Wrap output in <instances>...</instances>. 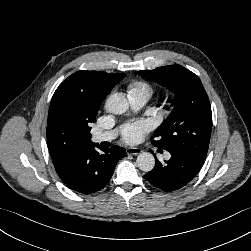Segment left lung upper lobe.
I'll list each match as a JSON object with an SVG mask.
<instances>
[{"mask_svg": "<svg viewBox=\"0 0 251 251\" xmlns=\"http://www.w3.org/2000/svg\"><path fill=\"white\" fill-rule=\"evenodd\" d=\"M139 74L175 93V107L156 129L153 145L167 151L187 150L205 159L212 129V112L199 77L181 65L142 70Z\"/></svg>", "mask_w": 251, "mask_h": 251, "instance_id": "left-lung-upper-lobe-1", "label": "left lung upper lobe"}]
</instances>
